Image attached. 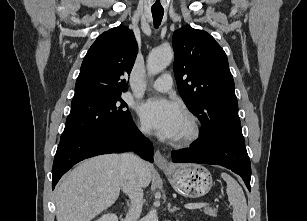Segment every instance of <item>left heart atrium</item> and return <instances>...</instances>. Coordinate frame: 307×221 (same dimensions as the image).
Returning a JSON list of instances; mask_svg holds the SVG:
<instances>
[{"label":"left heart atrium","instance_id":"obj_1","mask_svg":"<svg viewBox=\"0 0 307 221\" xmlns=\"http://www.w3.org/2000/svg\"><path fill=\"white\" fill-rule=\"evenodd\" d=\"M143 122L158 135L175 139L179 133L184 115L180 106L169 100L155 98L140 107Z\"/></svg>","mask_w":307,"mask_h":221}]
</instances>
